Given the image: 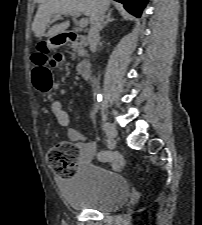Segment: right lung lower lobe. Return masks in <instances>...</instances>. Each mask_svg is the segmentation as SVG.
<instances>
[{
    "label": "right lung lower lobe",
    "mask_w": 202,
    "mask_h": 225,
    "mask_svg": "<svg viewBox=\"0 0 202 225\" xmlns=\"http://www.w3.org/2000/svg\"><path fill=\"white\" fill-rule=\"evenodd\" d=\"M124 4L125 9L136 17H140L147 0H115Z\"/></svg>",
    "instance_id": "right-lung-lower-lobe-1"
}]
</instances>
